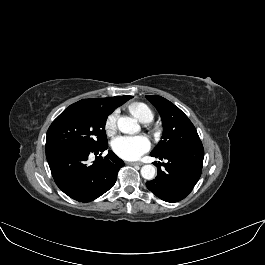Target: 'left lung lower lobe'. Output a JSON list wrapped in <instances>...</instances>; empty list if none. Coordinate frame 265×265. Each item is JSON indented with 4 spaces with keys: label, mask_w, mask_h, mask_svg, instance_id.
Listing matches in <instances>:
<instances>
[{
    "label": "left lung lower lobe",
    "mask_w": 265,
    "mask_h": 265,
    "mask_svg": "<svg viewBox=\"0 0 265 265\" xmlns=\"http://www.w3.org/2000/svg\"><path fill=\"white\" fill-rule=\"evenodd\" d=\"M150 155L166 159L167 163L154 162L158 175L146 183L147 188L166 202H177L188 196L201 176L204 158L202 142L181 146L163 155ZM161 165L165 169L161 170Z\"/></svg>",
    "instance_id": "obj_1"
}]
</instances>
